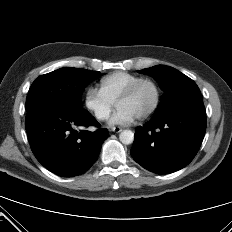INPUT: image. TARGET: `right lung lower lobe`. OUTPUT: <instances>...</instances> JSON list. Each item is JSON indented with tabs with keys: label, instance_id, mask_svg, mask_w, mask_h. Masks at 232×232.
I'll return each instance as SVG.
<instances>
[{
	"label": "right lung lower lobe",
	"instance_id": "obj_1",
	"mask_svg": "<svg viewBox=\"0 0 232 232\" xmlns=\"http://www.w3.org/2000/svg\"><path fill=\"white\" fill-rule=\"evenodd\" d=\"M26 131L32 152L49 171L63 177L86 172L97 160L107 129L94 132L76 128L99 126L86 110L36 106L27 111Z\"/></svg>",
	"mask_w": 232,
	"mask_h": 232
}]
</instances>
